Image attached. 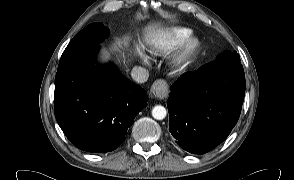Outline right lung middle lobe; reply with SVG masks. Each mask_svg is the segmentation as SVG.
<instances>
[{
    "label": "right lung middle lobe",
    "mask_w": 294,
    "mask_h": 180,
    "mask_svg": "<svg viewBox=\"0 0 294 180\" xmlns=\"http://www.w3.org/2000/svg\"><path fill=\"white\" fill-rule=\"evenodd\" d=\"M108 28L101 23H93L80 31L68 44L62 55H67L84 48L98 46L108 35Z\"/></svg>",
    "instance_id": "1"
}]
</instances>
